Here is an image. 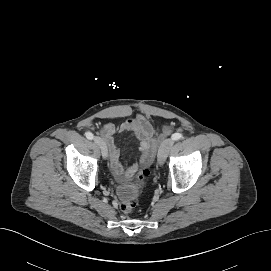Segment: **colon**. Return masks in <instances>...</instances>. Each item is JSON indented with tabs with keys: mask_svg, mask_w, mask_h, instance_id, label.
Here are the masks:
<instances>
[{
	"mask_svg": "<svg viewBox=\"0 0 271 271\" xmlns=\"http://www.w3.org/2000/svg\"><path fill=\"white\" fill-rule=\"evenodd\" d=\"M148 175H149V169L143 168L139 175V179L143 180ZM135 207H136V203L134 200H125L120 204L121 211L126 215L131 214L134 211Z\"/></svg>",
	"mask_w": 271,
	"mask_h": 271,
	"instance_id": "colon-1",
	"label": "colon"
}]
</instances>
